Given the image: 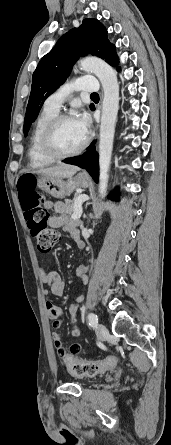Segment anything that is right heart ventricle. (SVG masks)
<instances>
[{"label": "right heart ventricle", "instance_id": "right-heart-ventricle-1", "mask_svg": "<svg viewBox=\"0 0 171 445\" xmlns=\"http://www.w3.org/2000/svg\"><path fill=\"white\" fill-rule=\"evenodd\" d=\"M58 114V110L44 106L36 119L29 144V161L33 167H44L54 160L46 157L41 151V137L48 122Z\"/></svg>", "mask_w": 171, "mask_h": 445}]
</instances>
